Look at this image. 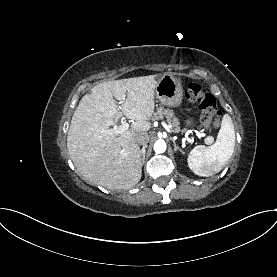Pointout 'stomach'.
Here are the masks:
<instances>
[{
  "label": "stomach",
  "mask_w": 277,
  "mask_h": 277,
  "mask_svg": "<svg viewBox=\"0 0 277 277\" xmlns=\"http://www.w3.org/2000/svg\"><path fill=\"white\" fill-rule=\"evenodd\" d=\"M155 93L163 105L169 107L179 106L183 99V87L180 79L171 74H164L158 80ZM185 123L186 126L194 127L192 118H188Z\"/></svg>",
  "instance_id": "1"
}]
</instances>
